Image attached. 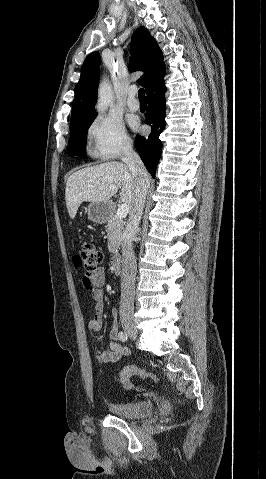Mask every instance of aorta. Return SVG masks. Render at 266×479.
Here are the masks:
<instances>
[{
    "instance_id": "1",
    "label": "aorta",
    "mask_w": 266,
    "mask_h": 479,
    "mask_svg": "<svg viewBox=\"0 0 266 479\" xmlns=\"http://www.w3.org/2000/svg\"><path fill=\"white\" fill-rule=\"evenodd\" d=\"M113 99L111 86L107 82H103L99 89V98L97 104V110L99 112L105 111L109 103Z\"/></svg>"
}]
</instances>
